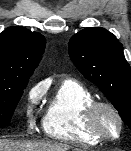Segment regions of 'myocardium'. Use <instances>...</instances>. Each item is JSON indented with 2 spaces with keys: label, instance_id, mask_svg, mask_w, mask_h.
Instances as JSON below:
<instances>
[{
  "label": "myocardium",
  "instance_id": "myocardium-1",
  "mask_svg": "<svg viewBox=\"0 0 131 151\" xmlns=\"http://www.w3.org/2000/svg\"><path fill=\"white\" fill-rule=\"evenodd\" d=\"M103 110L110 112L118 122V132L115 135L106 134L99 126L98 117ZM84 123L90 133L103 141L117 140L124 129V121L120 112L113 104L106 101L94 100L90 103L84 112Z\"/></svg>",
  "mask_w": 131,
  "mask_h": 151
}]
</instances>
